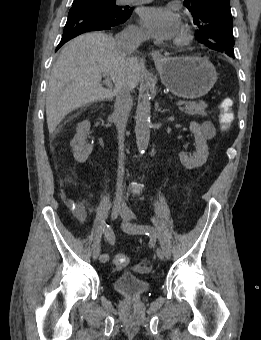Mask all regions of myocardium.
<instances>
[{
	"mask_svg": "<svg viewBox=\"0 0 261 340\" xmlns=\"http://www.w3.org/2000/svg\"><path fill=\"white\" fill-rule=\"evenodd\" d=\"M189 41V37L185 33H181L178 38L176 39L177 45H185Z\"/></svg>",
	"mask_w": 261,
	"mask_h": 340,
	"instance_id": "obj_1",
	"label": "myocardium"
}]
</instances>
